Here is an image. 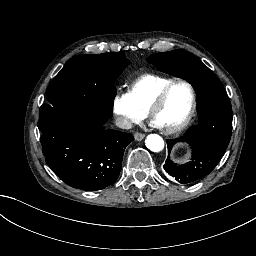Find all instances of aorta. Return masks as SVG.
Instances as JSON below:
<instances>
[{
	"mask_svg": "<svg viewBox=\"0 0 256 256\" xmlns=\"http://www.w3.org/2000/svg\"><path fill=\"white\" fill-rule=\"evenodd\" d=\"M146 147L152 152H160L164 149V140L158 134H149L145 140Z\"/></svg>",
	"mask_w": 256,
	"mask_h": 256,
	"instance_id": "762f6f07",
	"label": "aorta"
}]
</instances>
